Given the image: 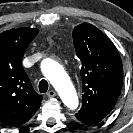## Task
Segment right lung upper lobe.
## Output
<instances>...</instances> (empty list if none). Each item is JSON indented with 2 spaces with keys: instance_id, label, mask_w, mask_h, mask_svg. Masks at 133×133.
I'll return each instance as SVG.
<instances>
[{
  "instance_id": "obj_1",
  "label": "right lung upper lobe",
  "mask_w": 133,
  "mask_h": 133,
  "mask_svg": "<svg viewBox=\"0 0 133 133\" xmlns=\"http://www.w3.org/2000/svg\"><path fill=\"white\" fill-rule=\"evenodd\" d=\"M37 29L21 27L0 34V122L7 126L26 123L41 105L27 77L22 58Z\"/></svg>"
}]
</instances>
